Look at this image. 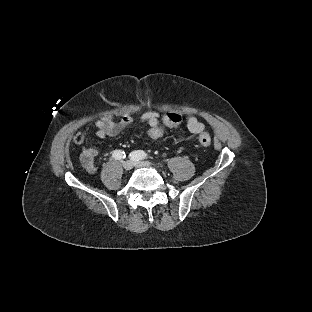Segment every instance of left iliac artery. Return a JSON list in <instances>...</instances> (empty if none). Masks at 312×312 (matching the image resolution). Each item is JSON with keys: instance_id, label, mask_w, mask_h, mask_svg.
Listing matches in <instances>:
<instances>
[{"instance_id": "obj_1", "label": "left iliac artery", "mask_w": 312, "mask_h": 312, "mask_svg": "<svg viewBox=\"0 0 312 312\" xmlns=\"http://www.w3.org/2000/svg\"><path fill=\"white\" fill-rule=\"evenodd\" d=\"M148 157V154L142 150L134 151L130 154V158L133 160H141Z\"/></svg>"}]
</instances>
